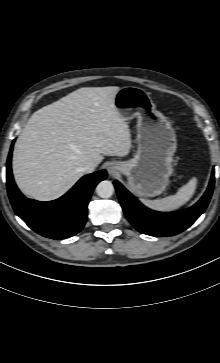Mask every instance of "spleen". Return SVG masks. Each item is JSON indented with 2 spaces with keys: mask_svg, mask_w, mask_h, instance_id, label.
<instances>
[{
  "mask_svg": "<svg viewBox=\"0 0 220 363\" xmlns=\"http://www.w3.org/2000/svg\"><path fill=\"white\" fill-rule=\"evenodd\" d=\"M197 186V178H192L187 184L183 185L175 195L162 199L140 201L148 208L158 212H172L186 204L194 195Z\"/></svg>",
  "mask_w": 220,
  "mask_h": 363,
  "instance_id": "obj_1",
  "label": "spleen"
}]
</instances>
